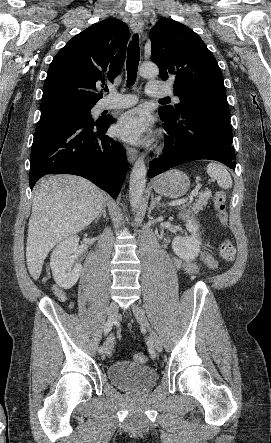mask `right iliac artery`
Segmentation results:
<instances>
[{
    "label": "right iliac artery",
    "mask_w": 271,
    "mask_h": 443,
    "mask_svg": "<svg viewBox=\"0 0 271 443\" xmlns=\"http://www.w3.org/2000/svg\"><path fill=\"white\" fill-rule=\"evenodd\" d=\"M113 323H114V319H110L109 318L107 323H106V325H105V327H104V334L105 335H107L111 331V329L113 327ZM98 352H99V354H103L104 353V347L101 346L98 349Z\"/></svg>",
    "instance_id": "right-iliac-artery-1"
}]
</instances>
